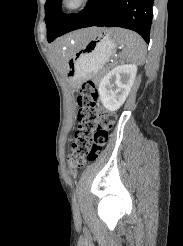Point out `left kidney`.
Segmentation results:
<instances>
[{
	"label": "left kidney",
	"mask_w": 183,
	"mask_h": 246,
	"mask_svg": "<svg viewBox=\"0 0 183 246\" xmlns=\"http://www.w3.org/2000/svg\"><path fill=\"white\" fill-rule=\"evenodd\" d=\"M136 73V64H122L103 76L98 92L106 109L113 112L124 104L134 83Z\"/></svg>",
	"instance_id": "obj_1"
}]
</instances>
